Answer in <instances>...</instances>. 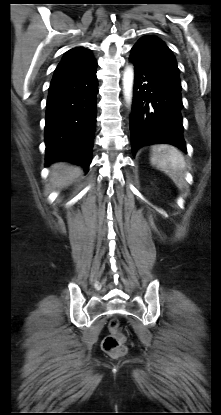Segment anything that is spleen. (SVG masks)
<instances>
[{"label": "spleen", "mask_w": 221, "mask_h": 415, "mask_svg": "<svg viewBox=\"0 0 221 415\" xmlns=\"http://www.w3.org/2000/svg\"><path fill=\"white\" fill-rule=\"evenodd\" d=\"M151 164L158 170L166 173L178 188H182L186 164L183 155L178 149L167 144L153 146Z\"/></svg>", "instance_id": "obj_1"}]
</instances>
